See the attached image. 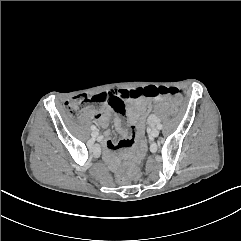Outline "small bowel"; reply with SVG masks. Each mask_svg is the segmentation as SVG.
<instances>
[{
	"mask_svg": "<svg viewBox=\"0 0 241 241\" xmlns=\"http://www.w3.org/2000/svg\"><path fill=\"white\" fill-rule=\"evenodd\" d=\"M139 97L141 99H138V97H136L132 99H126L124 102V113L125 107L127 106V117L131 126L126 128L120 116H117L114 120L116 129L118 133L122 136V139L120 141H113L112 139L108 138V134H106V138L103 141L104 158L111 165H114L115 163L113 155L114 150L125 149L131 147L134 144L135 139L138 135V130L136 126L142 128L144 117L150 111L151 104L146 100H142L148 99L150 97V90L148 88H141L139 90ZM106 106L107 107H105L101 112H94L93 110L87 111V114L91 116L102 127H106L110 121V109L114 110L111 105L106 104Z\"/></svg>",
	"mask_w": 241,
	"mask_h": 241,
	"instance_id": "c3829d8e",
	"label": "small bowel"
}]
</instances>
